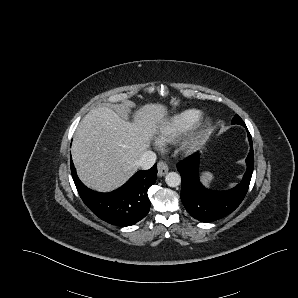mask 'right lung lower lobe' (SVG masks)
Instances as JSON below:
<instances>
[{
  "instance_id": "obj_1",
  "label": "right lung lower lobe",
  "mask_w": 298,
  "mask_h": 298,
  "mask_svg": "<svg viewBox=\"0 0 298 298\" xmlns=\"http://www.w3.org/2000/svg\"><path fill=\"white\" fill-rule=\"evenodd\" d=\"M71 173L81 199L100 219L124 227L137 223L148 214L147 192L157 179V164L149 170L136 172L121 188L110 193L88 189L77 177L72 161Z\"/></svg>"
}]
</instances>
